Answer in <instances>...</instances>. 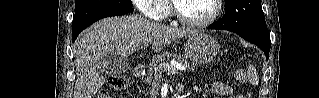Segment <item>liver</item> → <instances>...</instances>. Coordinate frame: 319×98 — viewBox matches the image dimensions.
Returning a JSON list of instances; mask_svg holds the SVG:
<instances>
[{"label": "liver", "mask_w": 319, "mask_h": 98, "mask_svg": "<svg viewBox=\"0 0 319 98\" xmlns=\"http://www.w3.org/2000/svg\"><path fill=\"white\" fill-rule=\"evenodd\" d=\"M197 31L169 27L139 15L105 18L80 34L75 42L76 81L74 98H94L106 78L99 68L103 55L124 56L141 43L154 40L152 49L162 50L177 38Z\"/></svg>", "instance_id": "6515ba94"}]
</instances>
